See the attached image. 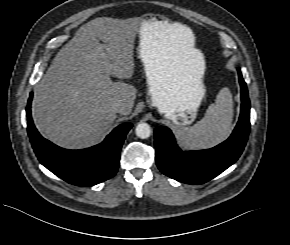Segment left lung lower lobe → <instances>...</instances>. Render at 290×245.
I'll return each mask as SVG.
<instances>
[{"label": "left lung lower lobe", "mask_w": 290, "mask_h": 245, "mask_svg": "<svg viewBox=\"0 0 290 245\" xmlns=\"http://www.w3.org/2000/svg\"><path fill=\"white\" fill-rule=\"evenodd\" d=\"M241 113L231 136L218 146L199 151H182L169 128L155 129L156 163L165 175L187 184H202L234 164L241 155L250 130V101L240 69Z\"/></svg>", "instance_id": "obj_1"}]
</instances>
